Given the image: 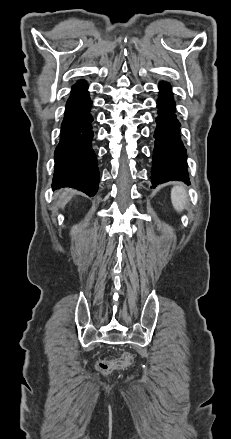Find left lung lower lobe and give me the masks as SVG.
Masks as SVG:
<instances>
[{
  "label": "left lung lower lobe",
  "instance_id": "0a47b994",
  "mask_svg": "<svg viewBox=\"0 0 231 439\" xmlns=\"http://www.w3.org/2000/svg\"><path fill=\"white\" fill-rule=\"evenodd\" d=\"M159 90L151 182L153 187L171 180L189 183L186 149L180 137L170 84L160 83Z\"/></svg>",
  "mask_w": 231,
  "mask_h": 439
}]
</instances>
